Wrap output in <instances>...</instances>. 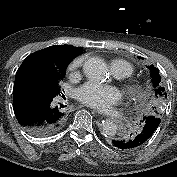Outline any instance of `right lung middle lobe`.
Returning <instances> with one entry per match:
<instances>
[{"instance_id":"1","label":"right lung middle lobe","mask_w":177,"mask_h":177,"mask_svg":"<svg viewBox=\"0 0 177 177\" xmlns=\"http://www.w3.org/2000/svg\"><path fill=\"white\" fill-rule=\"evenodd\" d=\"M65 69L66 67L60 72L48 75H27L20 80L18 86L23 90L29 89L48 96L60 95L59 81L63 80Z\"/></svg>"}]
</instances>
